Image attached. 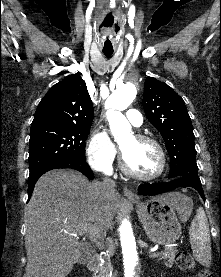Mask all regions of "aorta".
I'll return each mask as SVG.
<instances>
[{"label":"aorta","mask_w":221,"mask_h":277,"mask_svg":"<svg viewBox=\"0 0 221 277\" xmlns=\"http://www.w3.org/2000/svg\"><path fill=\"white\" fill-rule=\"evenodd\" d=\"M136 97V86L127 82L109 96L105 107L110 130L116 140L129 136L131 126L121 111L128 108ZM121 253L124 263V277H139L140 255L131 222L123 218L117 225Z\"/></svg>","instance_id":"obj_1"}]
</instances>
